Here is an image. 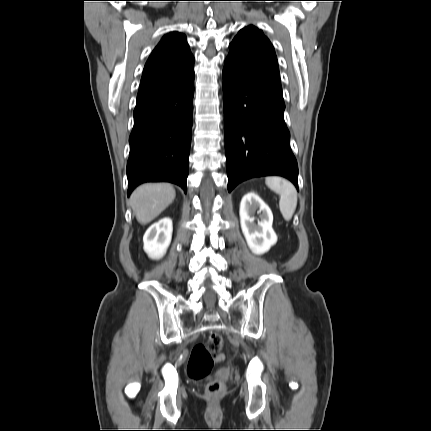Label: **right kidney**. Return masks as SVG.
<instances>
[{
  "label": "right kidney",
  "instance_id": "1",
  "mask_svg": "<svg viewBox=\"0 0 431 431\" xmlns=\"http://www.w3.org/2000/svg\"><path fill=\"white\" fill-rule=\"evenodd\" d=\"M172 220L163 218L151 225L143 236L144 250L153 259L166 252L172 237Z\"/></svg>",
  "mask_w": 431,
  "mask_h": 431
}]
</instances>
